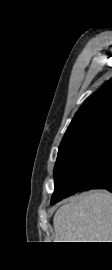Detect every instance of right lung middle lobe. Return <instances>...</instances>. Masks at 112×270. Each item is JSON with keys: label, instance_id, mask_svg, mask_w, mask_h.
I'll return each mask as SVG.
<instances>
[{"label": "right lung middle lobe", "instance_id": "dd1d6c3e", "mask_svg": "<svg viewBox=\"0 0 112 270\" xmlns=\"http://www.w3.org/2000/svg\"><path fill=\"white\" fill-rule=\"evenodd\" d=\"M111 143V122L97 125L61 142L54 168L52 204L82 191L83 173L103 156Z\"/></svg>", "mask_w": 112, "mask_h": 270}]
</instances>
